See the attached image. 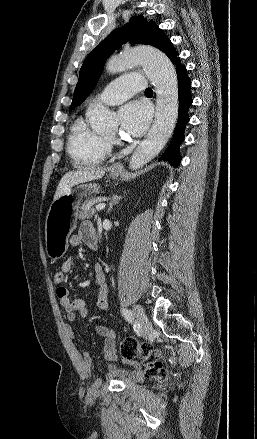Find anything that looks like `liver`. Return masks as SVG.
I'll return each instance as SVG.
<instances>
[{"instance_id": "1", "label": "liver", "mask_w": 257, "mask_h": 439, "mask_svg": "<svg viewBox=\"0 0 257 439\" xmlns=\"http://www.w3.org/2000/svg\"><path fill=\"white\" fill-rule=\"evenodd\" d=\"M105 175V169H86L70 171L60 180L54 195V200L67 193L73 186L88 181L102 178Z\"/></svg>"}]
</instances>
